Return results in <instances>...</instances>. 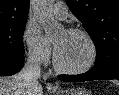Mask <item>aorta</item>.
<instances>
[{"label":"aorta","instance_id":"762f6f07","mask_svg":"<svg viewBox=\"0 0 119 95\" xmlns=\"http://www.w3.org/2000/svg\"><path fill=\"white\" fill-rule=\"evenodd\" d=\"M54 0H35L33 5L34 16L41 24L48 39L56 36L62 29V25L53 17Z\"/></svg>","mask_w":119,"mask_h":95}]
</instances>
